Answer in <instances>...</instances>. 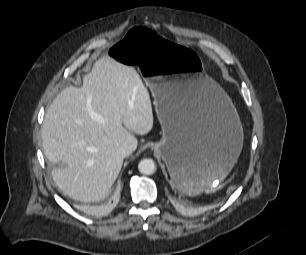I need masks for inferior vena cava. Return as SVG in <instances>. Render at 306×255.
<instances>
[{"mask_svg":"<svg viewBox=\"0 0 306 255\" xmlns=\"http://www.w3.org/2000/svg\"><path fill=\"white\" fill-rule=\"evenodd\" d=\"M134 150H135V148L132 145L124 144L118 149V153H119L120 156L125 158V157L129 156Z\"/></svg>","mask_w":306,"mask_h":255,"instance_id":"602c4592","label":"inferior vena cava"}]
</instances>
